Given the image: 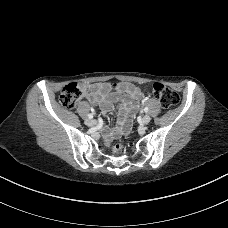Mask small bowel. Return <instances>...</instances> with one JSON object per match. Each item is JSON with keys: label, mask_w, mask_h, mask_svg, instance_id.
Returning a JSON list of instances; mask_svg holds the SVG:
<instances>
[{"label": "small bowel", "mask_w": 228, "mask_h": 228, "mask_svg": "<svg viewBox=\"0 0 228 228\" xmlns=\"http://www.w3.org/2000/svg\"><path fill=\"white\" fill-rule=\"evenodd\" d=\"M129 94H125V92ZM143 95L139 88L126 83H96L92 85V92L87 96V101L98 105L101 112L106 115L117 105L119 116L117 126L111 131L103 129L106 139L128 133L131 127V117L137 111Z\"/></svg>", "instance_id": "small-bowel-1"}]
</instances>
